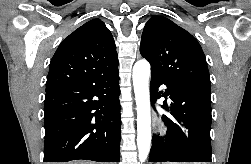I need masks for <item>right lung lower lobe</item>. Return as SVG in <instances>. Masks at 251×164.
Wrapping results in <instances>:
<instances>
[{
    "mask_svg": "<svg viewBox=\"0 0 251 164\" xmlns=\"http://www.w3.org/2000/svg\"><path fill=\"white\" fill-rule=\"evenodd\" d=\"M118 67L46 91L44 162H119Z\"/></svg>",
    "mask_w": 251,
    "mask_h": 164,
    "instance_id": "1",
    "label": "right lung lower lobe"
}]
</instances>
